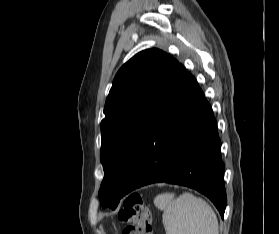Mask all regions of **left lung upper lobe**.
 Returning <instances> with one entry per match:
<instances>
[{
	"label": "left lung upper lobe",
	"instance_id": "5c2ea615",
	"mask_svg": "<svg viewBox=\"0 0 279 234\" xmlns=\"http://www.w3.org/2000/svg\"><path fill=\"white\" fill-rule=\"evenodd\" d=\"M178 66L171 55L147 49L117 72L101 122L104 178L98 195L103 207L115 209L122 198L148 126Z\"/></svg>",
	"mask_w": 279,
	"mask_h": 234
}]
</instances>
